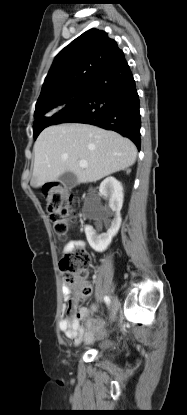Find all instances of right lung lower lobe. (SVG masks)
<instances>
[{
    "label": "right lung lower lobe",
    "instance_id": "1",
    "mask_svg": "<svg viewBox=\"0 0 187 415\" xmlns=\"http://www.w3.org/2000/svg\"><path fill=\"white\" fill-rule=\"evenodd\" d=\"M139 96L124 53L91 80L86 92L61 109L53 124L74 122L113 130L140 149Z\"/></svg>",
    "mask_w": 187,
    "mask_h": 415
}]
</instances>
